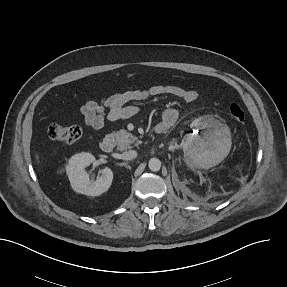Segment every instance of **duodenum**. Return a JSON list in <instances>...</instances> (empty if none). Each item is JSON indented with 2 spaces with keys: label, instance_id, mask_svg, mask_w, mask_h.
<instances>
[{
  "label": "duodenum",
  "instance_id": "obj_1",
  "mask_svg": "<svg viewBox=\"0 0 287 287\" xmlns=\"http://www.w3.org/2000/svg\"><path fill=\"white\" fill-rule=\"evenodd\" d=\"M157 134H161L164 132V128L162 126H159L155 129ZM100 148L103 152L105 153H110L112 152L114 148V141L111 137H105L102 139L100 142Z\"/></svg>",
  "mask_w": 287,
  "mask_h": 287
}]
</instances>
